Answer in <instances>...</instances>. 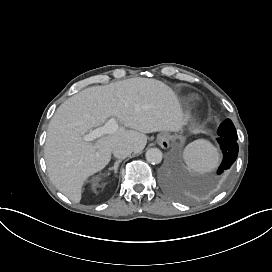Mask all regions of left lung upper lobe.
I'll return each mask as SVG.
<instances>
[{
  "label": "left lung upper lobe",
  "instance_id": "1",
  "mask_svg": "<svg viewBox=\"0 0 272 272\" xmlns=\"http://www.w3.org/2000/svg\"><path fill=\"white\" fill-rule=\"evenodd\" d=\"M219 136L237 140V132L230 119L223 121L217 131Z\"/></svg>",
  "mask_w": 272,
  "mask_h": 272
}]
</instances>
